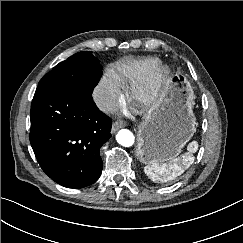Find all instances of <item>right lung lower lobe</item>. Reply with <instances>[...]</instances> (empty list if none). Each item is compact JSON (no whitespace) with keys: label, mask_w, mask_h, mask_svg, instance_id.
<instances>
[{"label":"right lung lower lobe","mask_w":243,"mask_h":243,"mask_svg":"<svg viewBox=\"0 0 243 243\" xmlns=\"http://www.w3.org/2000/svg\"><path fill=\"white\" fill-rule=\"evenodd\" d=\"M93 88L36 89L31 105L30 143L42 170L68 188L93 184L102 172L101 146L111 120L95 105Z\"/></svg>","instance_id":"right-lung-lower-lobe-1"}]
</instances>
